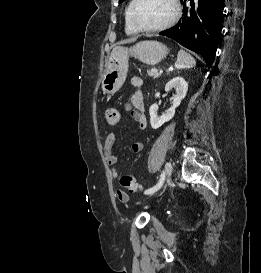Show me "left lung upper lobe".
I'll use <instances>...</instances> for the list:
<instances>
[{
	"instance_id": "5c2ea615",
	"label": "left lung upper lobe",
	"mask_w": 261,
	"mask_h": 273,
	"mask_svg": "<svg viewBox=\"0 0 261 273\" xmlns=\"http://www.w3.org/2000/svg\"><path fill=\"white\" fill-rule=\"evenodd\" d=\"M124 0H119V2H123Z\"/></svg>"
}]
</instances>
